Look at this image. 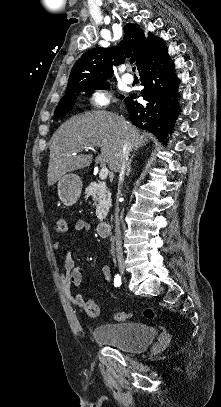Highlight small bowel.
Segmentation results:
<instances>
[{
    "instance_id": "c3829d8e",
    "label": "small bowel",
    "mask_w": 221,
    "mask_h": 407,
    "mask_svg": "<svg viewBox=\"0 0 221 407\" xmlns=\"http://www.w3.org/2000/svg\"><path fill=\"white\" fill-rule=\"evenodd\" d=\"M90 230V224L83 219H78L74 223V231L75 232H86ZM63 247V243L61 241H57L53 246V255L56 258L61 249ZM102 272L104 277L107 281L111 279V270L108 266H104L102 268ZM83 281V269L81 267H77L74 264L72 259V254L70 251H67L64 260L63 271L60 273V286L66 295L69 302L75 308H83L85 299L81 293L73 294L72 293V286L79 289L81 287Z\"/></svg>"
}]
</instances>
